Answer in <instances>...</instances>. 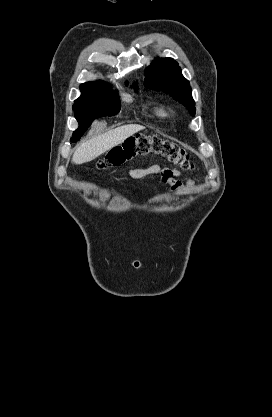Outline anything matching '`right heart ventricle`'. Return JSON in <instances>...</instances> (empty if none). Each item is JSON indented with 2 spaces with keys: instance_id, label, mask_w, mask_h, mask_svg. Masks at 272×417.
<instances>
[{
  "instance_id": "e07e8e85",
  "label": "right heart ventricle",
  "mask_w": 272,
  "mask_h": 417,
  "mask_svg": "<svg viewBox=\"0 0 272 417\" xmlns=\"http://www.w3.org/2000/svg\"><path fill=\"white\" fill-rule=\"evenodd\" d=\"M156 114L159 116V117H162V118H165V117H168L169 116V112L167 111V109L164 107V106H159V107H157V109H156Z\"/></svg>"
}]
</instances>
